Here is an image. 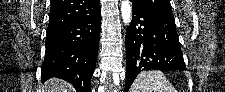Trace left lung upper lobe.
<instances>
[{"label":"left lung upper lobe","instance_id":"1","mask_svg":"<svg viewBox=\"0 0 225 92\" xmlns=\"http://www.w3.org/2000/svg\"><path fill=\"white\" fill-rule=\"evenodd\" d=\"M132 5L143 8L149 12L173 17L172 8L169 0H131Z\"/></svg>","mask_w":225,"mask_h":92}]
</instances>
